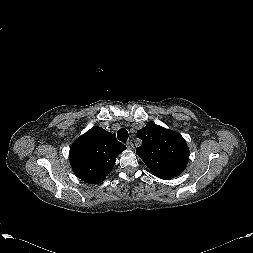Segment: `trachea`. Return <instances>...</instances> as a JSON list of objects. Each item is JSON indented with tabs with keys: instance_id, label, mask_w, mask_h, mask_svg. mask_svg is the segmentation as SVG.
Masks as SVG:
<instances>
[{
	"instance_id": "3493384b",
	"label": "trachea",
	"mask_w": 253,
	"mask_h": 253,
	"mask_svg": "<svg viewBox=\"0 0 253 253\" xmlns=\"http://www.w3.org/2000/svg\"><path fill=\"white\" fill-rule=\"evenodd\" d=\"M117 137L122 142L126 141L128 139V137H129L128 131L125 130V129H120L117 132Z\"/></svg>"
}]
</instances>
